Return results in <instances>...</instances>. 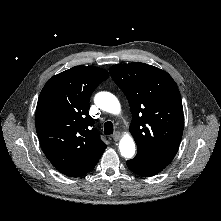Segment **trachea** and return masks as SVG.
I'll return each instance as SVG.
<instances>
[{
    "mask_svg": "<svg viewBox=\"0 0 221 221\" xmlns=\"http://www.w3.org/2000/svg\"><path fill=\"white\" fill-rule=\"evenodd\" d=\"M114 128L113 123L111 121H107L104 124V133L105 135L113 134Z\"/></svg>",
    "mask_w": 221,
    "mask_h": 221,
    "instance_id": "obj_1",
    "label": "trachea"
}]
</instances>
